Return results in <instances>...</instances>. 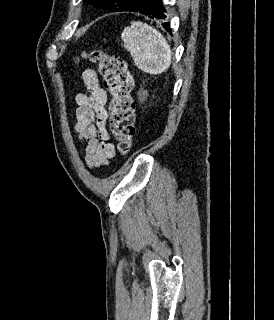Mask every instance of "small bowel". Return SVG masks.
<instances>
[{"label":"small bowel","instance_id":"c3829d8e","mask_svg":"<svg viewBox=\"0 0 274 320\" xmlns=\"http://www.w3.org/2000/svg\"><path fill=\"white\" fill-rule=\"evenodd\" d=\"M82 80L87 93L78 94L75 98L77 109L73 130L79 142L87 143L85 153L87 166L100 167L115 156V147L106 129L108 113L105 105L108 95L93 69H85L82 72Z\"/></svg>","mask_w":274,"mask_h":320}]
</instances>
